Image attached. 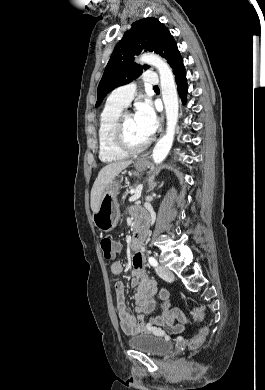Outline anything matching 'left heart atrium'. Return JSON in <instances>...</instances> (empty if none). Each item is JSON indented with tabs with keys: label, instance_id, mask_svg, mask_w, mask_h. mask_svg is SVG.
Here are the masks:
<instances>
[{
	"label": "left heart atrium",
	"instance_id": "left-heart-atrium-1",
	"mask_svg": "<svg viewBox=\"0 0 265 390\" xmlns=\"http://www.w3.org/2000/svg\"><path fill=\"white\" fill-rule=\"evenodd\" d=\"M134 119L140 132L148 140L157 128L156 115L151 105L148 103L140 104L134 114Z\"/></svg>",
	"mask_w": 265,
	"mask_h": 390
}]
</instances>
